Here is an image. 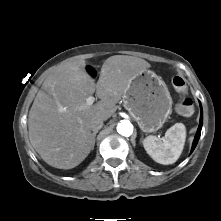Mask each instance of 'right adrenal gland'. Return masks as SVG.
I'll return each mask as SVG.
<instances>
[{
    "mask_svg": "<svg viewBox=\"0 0 221 221\" xmlns=\"http://www.w3.org/2000/svg\"><path fill=\"white\" fill-rule=\"evenodd\" d=\"M98 133V131H95V132H93V148H94V145H95V138H96V134ZM92 148V149H93Z\"/></svg>",
    "mask_w": 221,
    "mask_h": 221,
    "instance_id": "1",
    "label": "right adrenal gland"
}]
</instances>
